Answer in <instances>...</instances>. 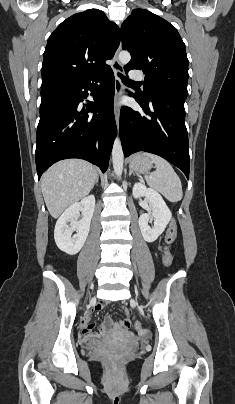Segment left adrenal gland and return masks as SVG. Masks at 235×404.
Returning <instances> with one entry per match:
<instances>
[{
    "mask_svg": "<svg viewBox=\"0 0 235 404\" xmlns=\"http://www.w3.org/2000/svg\"><path fill=\"white\" fill-rule=\"evenodd\" d=\"M132 173H133V172H132V170L130 169V170H129V176H131V175H132Z\"/></svg>",
    "mask_w": 235,
    "mask_h": 404,
    "instance_id": "left-adrenal-gland-1",
    "label": "left adrenal gland"
}]
</instances>
